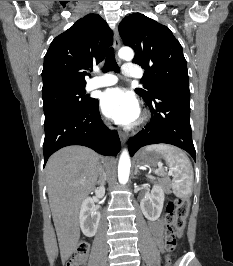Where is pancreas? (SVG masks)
<instances>
[{"instance_id":"cf45deb5","label":"pancreas","mask_w":233,"mask_h":266,"mask_svg":"<svg viewBox=\"0 0 233 266\" xmlns=\"http://www.w3.org/2000/svg\"><path fill=\"white\" fill-rule=\"evenodd\" d=\"M160 183L167 185L168 184V181L167 180H164V181H160Z\"/></svg>"}]
</instances>
